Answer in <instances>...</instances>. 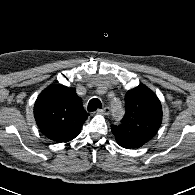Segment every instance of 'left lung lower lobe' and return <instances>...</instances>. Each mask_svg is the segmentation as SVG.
Instances as JSON below:
<instances>
[{
    "label": "left lung lower lobe",
    "instance_id": "obj_1",
    "mask_svg": "<svg viewBox=\"0 0 195 195\" xmlns=\"http://www.w3.org/2000/svg\"><path fill=\"white\" fill-rule=\"evenodd\" d=\"M116 138V137H115ZM118 144L123 148H130L126 143L120 141L118 138H116Z\"/></svg>",
    "mask_w": 195,
    "mask_h": 195
}]
</instances>
